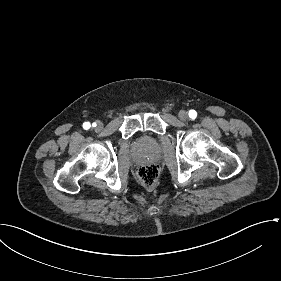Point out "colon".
I'll return each instance as SVG.
<instances>
[{"mask_svg": "<svg viewBox=\"0 0 281 281\" xmlns=\"http://www.w3.org/2000/svg\"><path fill=\"white\" fill-rule=\"evenodd\" d=\"M137 176L140 182L148 188H151L157 184L159 171L158 167L154 163H147L139 167Z\"/></svg>", "mask_w": 281, "mask_h": 281, "instance_id": "obj_1", "label": "colon"}]
</instances>
